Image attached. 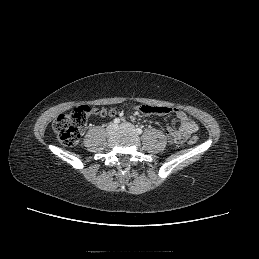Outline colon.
<instances>
[{"instance_id":"obj_1","label":"colon","mask_w":259,"mask_h":259,"mask_svg":"<svg viewBox=\"0 0 259 259\" xmlns=\"http://www.w3.org/2000/svg\"><path fill=\"white\" fill-rule=\"evenodd\" d=\"M104 108H91L83 105L74 108L68 113L59 115L54 121L53 128L58 137V140L65 146H72L78 143L81 137V130L87 123L92 114L104 117L112 114ZM198 141L197 136H191L188 139L190 145H194Z\"/></svg>"}]
</instances>
